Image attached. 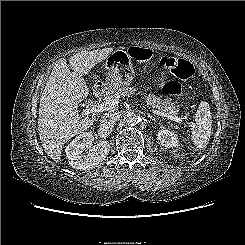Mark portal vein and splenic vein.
<instances>
[{
  "instance_id": "obj_1",
  "label": "portal vein and splenic vein",
  "mask_w": 245,
  "mask_h": 245,
  "mask_svg": "<svg viewBox=\"0 0 245 245\" xmlns=\"http://www.w3.org/2000/svg\"><path fill=\"white\" fill-rule=\"evenodd\" d=\"M120 101H121L120 99L105 100L98 105L87 106L84 113H85V115L88 116L89 114H98V113H101L104 111L113 110L120 103ZM152 113H154L158 116L168 118L172 121H176V122L181 123V124L183 123L182 118L177 117V116L169 115V114H166V113L160 112L158 110H154V109H152Z\"/></svg>"
}]
</instances>
